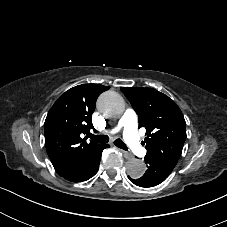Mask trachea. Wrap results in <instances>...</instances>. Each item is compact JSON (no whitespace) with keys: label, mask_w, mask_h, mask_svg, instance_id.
I'll use <instances>...</instances> for the list:
<instances>
[{"label":"trachea","mask_w":227,"mask_h":227,"mask_svg":"<svg viewBox=\"0 0 227 227\" xmlns=\"http://www.w3.org/2000/svg\"><path fill=\"white\" fill-rule=\"evenodd\" d=\"M89 138H91L95 142L101 143V144H105V143H107L109 141V137L107 135H93V134H90ZM114 144L118 148L124 149L126 151L128 150L127 145L121 139H116L114 141Z\"/></svg>","instance_id":"obj_1"}]
</instances>
